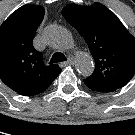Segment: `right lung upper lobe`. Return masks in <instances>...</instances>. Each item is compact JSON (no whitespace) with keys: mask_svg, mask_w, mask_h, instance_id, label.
<instances>
[{"mask_svg":"<svg viewBox=\"0 0 135 135\" xmlns=\"http://www.w3.org/2000/svg\"><path fill=\"white\" fill-rule=\"evenodd\" d=\"M44 14L40 5H23L0 26V79L23 96L40 94L61 72L56 64L46 66L32 46Z\"/></svg>","mask_w":135,"mask_h":135,"instance_id":"1","label":"right lung upper lobe"}]
</instances>
